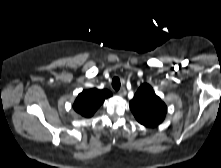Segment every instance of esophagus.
Masks as SVG:
<instances>
[{
  "mask_svg": "<svg viewBox=\"0 0 221 168\" xmlns=\"http://www.w3.org/2000/svg\"><path fill=\"white\" fill-rule=\"evenodd\" d=\"M118 94H119L120 96H125V95H126V89H125L124 87H122V88L119 90Z\"/></svg>",
  "mask_w": 221,
  "mask_h": 168,
  "instance_id": "1",
  "label": "esophagus"
}]
</instances>
